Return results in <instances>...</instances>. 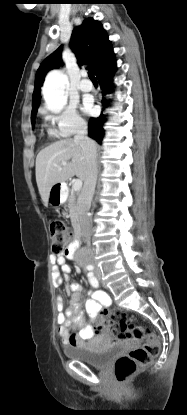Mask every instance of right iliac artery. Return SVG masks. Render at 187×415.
Here are the masks:
<instances>
[{"instance_id":"obj_1","label":"right iliac artery","mask_w":187,"mask_h":415,"mask_svg":"<svg viewBox=\"0 0 187 415\" xmlns=\"http://www.w3.org/2000/svg\"><path fill=\"white\" fill-rule=\"evenodd\" d=\"M87 269L88 270H92L93 269V266L89 265V266H87Z\"/></svg>"}]
</instances>
